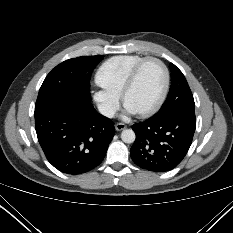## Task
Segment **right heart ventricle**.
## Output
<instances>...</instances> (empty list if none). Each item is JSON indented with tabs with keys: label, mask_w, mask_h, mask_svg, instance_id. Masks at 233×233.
<instances>
[{
	"label": "right heart ventricle",
	"mask_w": 233,
	"mask_h": 233,
	"mask_svg": "<svg viewBox=\"0 0 233 233\" xmlns=\"http://www.w3.org/2000/svg\"><path fill=\"white\" fill-rule=\"evenodd\" d=\"M140 55H118L106 60L97 70V83L118 95L134 66L143 59Z\"/></svg>",
	"instance_id": "1"
}]
</instances>
